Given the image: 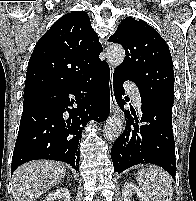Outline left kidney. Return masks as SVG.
<instances>
[{"mask_svg":"<svg viewBox=\"0 0 196 201\" xmlns=\"http://www.w3.org/2000/svg\"><path fill=\"white\" fill-rule=\"evenodd\" d=\"M122 194L124 201H130V198L133 194H137L141 201H151L147 195L141 192V190L132 182H126L124 184Z\"/></svg>","mask_w":196,"mask_h":201,"instance_id":"5707ae66","label":"left kidney"}]
</instances>
